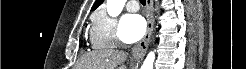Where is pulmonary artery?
<instances>
[{
	"label": "pulmonary artery",
	"mask_w": 246,
	"mask_h": 69,
	"mask_svg": "<svg viewBox=\"0 0 246 69\" xmlns=\"http://www.w3.org/2000/svg\"><path fill=\"white\" fill-rule=\"evenodd\" d=\"M126 9L131 12H135L138 10V4L136 1H128L126 3Z\"/></svg>",
	"instance_id": "pulmonary-artery-1"
}]
</instances>
